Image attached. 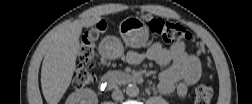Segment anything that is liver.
Returning <instances> with one entry per match:
<instances>
[{
  "instance_id": "1",
  "label": "liver",
  "mask_w": 252,
  "mask_h": 104,
  "mask_svg": "<svg viewBox=\"0 0 252 104\" xmlns=\"http://www.w3.org/2000/svg\"><path fill=\"white\" fill-rule=\"evenodd\" d=\"M101 20L96 15L76 20L59 28L49 45L41 68V87L47 103H58L68 89L75 70L79 37L83 27H92Z\"/></svg>"
}]
</instances>
